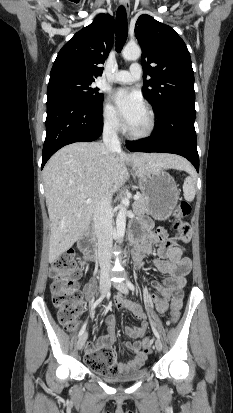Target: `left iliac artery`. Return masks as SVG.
Returning <instances> with one entry per match:
<instances>
[{
    "label": "left iliac artery",
    "instance_id": "1",
    "mask_svg": "<svg viewBox=\"0 0 233 413\" xmlns=\"http://www.w3.org/2000/svg\"><path fill=\"white\" fill-rule=\"evenodd\" d=\"M127 286H128L132 291L135 290L134 285H133L129 280L127 281ZM149 320H150V323H151V326H152L153 333L155 334V336H156L157 338H160L159 333L157 332V330H156V329L154 328V326H153V321H152L150 315H149Z\"/></svg>",
    "mask_w": 233,
    "mask_h": 413
}]
</instances>
